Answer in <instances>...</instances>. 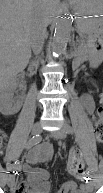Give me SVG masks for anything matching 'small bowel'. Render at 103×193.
<instances>
[{
    "mask_svg": "<svg viewBox=\"0 0 103 193\" xmlns=\"http://www.w3.org/2000/svg\"><path fill=\"white\" fill-rule=\"evenodd\" d=\"M81 103L87 112H93L95 105L91 95L82 96ZM2 135L4 140L5 134L2 133ZM52 153V147L48 143H44L27 153L26 162L22 166V171L26 175V181H22L18 186L14 187L13 193H50L51 184L49 179L51 173L43 168H34L33 165L49 160ZM11 179L14 181L15 178L12 176ZM81 179L83 180L82 184L77 185L75 182L70 181L63 184L55 193H88L87 182L89 175L85 174Z\"/></svg>",
    "mask_w": 103,
    "mask_h": 193,
    "instance_id": "c3829d8e",
    "label": "small bowel"
}]
</instances>
